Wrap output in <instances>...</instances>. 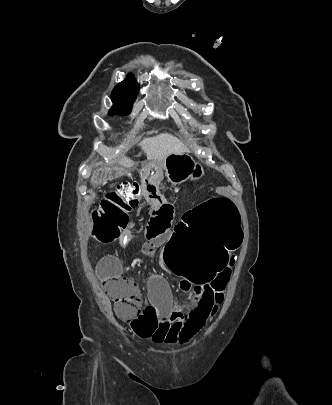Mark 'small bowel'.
Segmentation results:
<instances>
[{"instance_id": "obj_1", "label": "small bowel", "mask_w": 332, "mask_h": 405, "mask_svg": "<svg viewBox=\"0 0 332 405\" xmlns=\"http://www.w3.org/2000/svg\"><path fill=\"white\" fill-rule=\"evenodd\" d=\"M100 172H91L90 180L95 186H112V177H124V168H106ZM105 167V168H104ZM164 171L159 159H150L141 169L139 197L143 203L151 206V216L145 228L143 252L153 255L167 240H171V223L175 214L172 203L163 194L161 184ZM184 220H187L184 219ZM131 241L129 230L119 237V243L128 245ZM231 264L233 263L232 257ZM122 271V261L117 255H106L96 265L98 277L106 279L118 276ZM215 276V275H214ZM210 282L206 287H193L192 281L179 282L182 293L190 297L180 306L172 300L168 281L161 275L153 273L148 278V299L144 301V311H138V317L131 320L133 332L142 339H149L157 344L185 343L192 339L208 319L207 313L212 301Z\"/></svg>"}]
</instances>
